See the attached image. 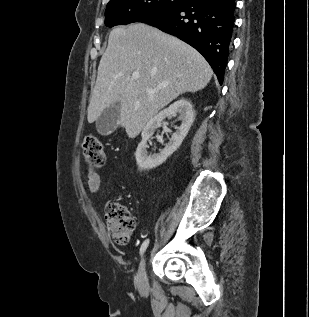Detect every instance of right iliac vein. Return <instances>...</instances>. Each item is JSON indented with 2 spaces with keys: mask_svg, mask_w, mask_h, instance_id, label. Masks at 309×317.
Here are the masks:
<instances>
[{
  "mask_svg": "<svg viewBox=\"0 0 309 317\" xmlns=\"http://www.w3.org/2000/svg\"><path fill=\"white\" fill-rule=\"evenodd\" d=\"M138 287L141 291H145L148 288V279H147V271H146V257L145 255L142 257L139 264V272H138Z\"/></svg>",
  "mask_w": 309,
  "mask_h": 317,
  "instance_id": "right-iliac-vein-1",
  "label": "right iliac vein"
}]
</instances>
